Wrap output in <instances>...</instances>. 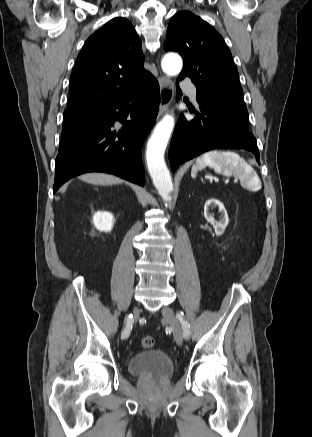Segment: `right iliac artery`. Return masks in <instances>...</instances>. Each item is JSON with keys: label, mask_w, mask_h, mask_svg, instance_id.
Listing matches in <instances>:
<instances>
[{"label": "right iliac artery", "mask_w": 312, "mask_h": 437, "mask_svg": "<svg viewBox=\"0 0 312 437\" xmlns=\"http://www.w3.org/2000/svg\"><path fill=\"white\" fill-rule=\"evenodd\" d=\"M125 322H126V325H125V328H124V330L122 332V338L123 339L127 338L129 336V334H130V330L132 329V324L134 322L133 315L130 314L129 316H127L126 319H125Z\"/></svg>", "instance_id": "right-iliac-artery-1"}]
</instances>
